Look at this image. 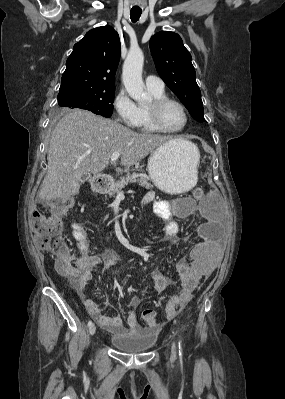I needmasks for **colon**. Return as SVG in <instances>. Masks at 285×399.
Returning a JSON list of instances; mask_svg holds the SVG:
<instances>
[{
	"mask_svg": "<svg viewBox=\"0 0 285 399\" xmlns=\"http://www.w3.org/2000/svg\"><path fill=\"white\" fill-rule=\"evenodd\" d=\"M192 195L194 198L200 199L204 196V191L202 188L196 187L192 190ZM73 207L74 203L72 201H62L59 204V212L69 211ZM29 229L38 247L43 252L55 256L61 272L73 277L78 276L79 271L75 266L76 256L69 250L62 239V223L57 213L46 215L40 211L35 212L30 218ZM83 250H85V246H83ZM180 309L179 305L170 303L166 307V314L168 317H174ZM142 321L146 326H156V311L154 309H145L142 312Z\"/></svg>",
	"mask_w": 285,
	"mask_h": 399,
	"instance_id": "1",
	"label": "colon"
}]
</instances>
